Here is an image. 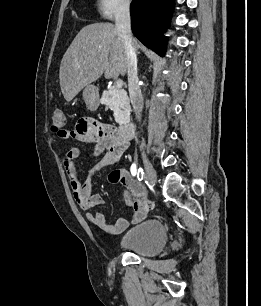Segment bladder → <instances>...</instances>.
Segmentation results:
<instances>
[{
    "mask_svg": "<svg viewBox=\"0 0 261 306\" xmlns=\"http://www.w3.org/2000/svg\"><path fill=\"white\" fill-rule=\"evenodd\" d=\"M167 243V229L158 219H147L129 228L119 239L121 249L139 256H155Z\"/></svg>",
    "mask_w": 261,
    "mask_h": 306,
    "instance_id": "1",
    "label": "bladder"
}]
</instances>
